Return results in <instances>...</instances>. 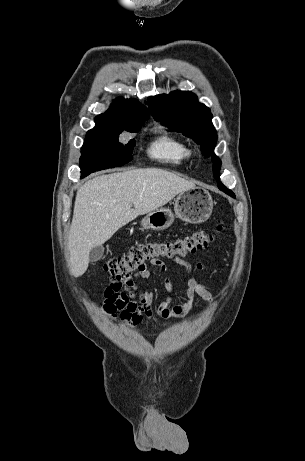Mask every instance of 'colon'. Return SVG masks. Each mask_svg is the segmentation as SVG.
<instances>
[{
  "label": "colon",
  "mask_w": 305,
  "mask_h": 461,
  "mask_svg": "<svg viewBox=\"0 0 305 461\" xmlns=\"http://www.w3.org/2000/svg\"><path fill=\"white\" fill-rule=\"evenodd\" d=\"M221 231L222 226L218 224L215 233L198 230L173 240L139 243L131 247L126 255L107 260L104 270L112 280H126L135 272L145 269L148 264L207 249Z\"/></svg>",
  "instance_id": "5ec220e1"
}]
</instances>
